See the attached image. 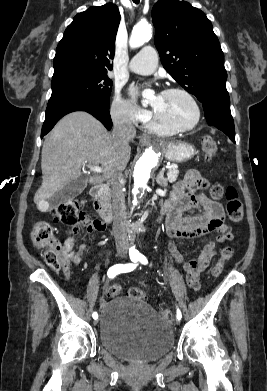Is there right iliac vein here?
Listing matches in <instances>:
<instances>
[{
	"label": "right iliac vein",
	"mask_w": 267,
	"mask_h": 391,
	"mask_svg": "<svg viewBox=\"0 0 267 391\" xmlns=\"http://www.w3.org/2000/svg\"><path fill=\"white\" fill-rule=\"evenodd\" d=\"M97 323H98V320L96 319V320L94 321V325H97Z\"/></svg>",
	"instance_id": "63e3f726"
}]
</instances>
